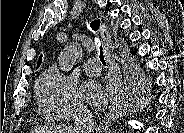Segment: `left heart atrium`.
Here are the masks:
<instances>
[{"instance_id":"obj_1","label":"left heart atrium","mask_w":184,"mask_h":133,"mask_svg":"<svg viewBox=\"0 0 184 133\" xmlns=\"http://www.w3.org/2000/svg\"><path fill=\"white\" fill-rule=\"evenodd\" d=\"M80 92L83 99L91 105H100L105 99L102 87L93 80L85 81Z\"/></svg>"}]
</instances>
